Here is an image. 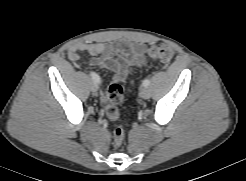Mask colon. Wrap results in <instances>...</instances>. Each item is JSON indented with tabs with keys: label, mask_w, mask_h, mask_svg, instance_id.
Returning <instances> with one entry per match:
<instances>
[{
	"label": "colon",
	"mask_w": 246,
	"mask_h": 181,
	"mask_svg": "<svg viewBox=\"0 0 246 181\" xmlns=\"http://www.w3.org/2000/svg\"><path fill=\"white\" fill-rule=\"evenodd\" d=\"M146 54L155 61L168 63L172 60L174 51L171 46L160 44L149 47ZM124 97V90L118 83L111 84L102 92L105 114L110 120L115 121L119 118V105L123 102ZM124 135L125 131L122 127H116L114 129L113 145L115 147L121 146L124 140Z\"/></svg>",
	"instance_id": "5ec220e1"
}]
</instances>
